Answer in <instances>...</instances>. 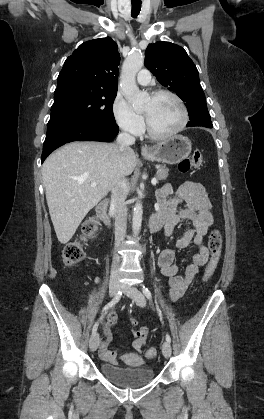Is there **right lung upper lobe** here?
I'll return each mask as SVG.
<instances>
[{"label":"right lung upper lobe","mask_w":264,"mask_h":419,"mask_svg":"<svg viewBox=\"0 0 264 419\" xmlns=\"http://www.w3.org/2000/svg\"><path fill=\"white\" fill-rule=\"evenodd\" d=\"M120 54L109 37L82 43L67 58L58 76V87L79 84L93 90L117 92Z\"/></svg>","instance_id":"1"}]
</instances>
